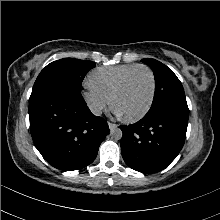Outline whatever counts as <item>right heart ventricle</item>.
Listing matches in <instances>:
<instances>
[{
	"mask_svg": "<svg viewBox=\"0 0 220 220\" xmlns=\"http://www.w3.org/2000/svg\"><path fill=\"white\" fill-rule=\"evenodd\" d=\"M137 64L98 67L87 78L88 85L107 98L111 96L122 78Z\"/></svg>",
	"mask_w": 220,
	"mask_h": 220,
	"instance_id": "obj_1",
	"label": "right heart ventricle"
}]
</instances>
